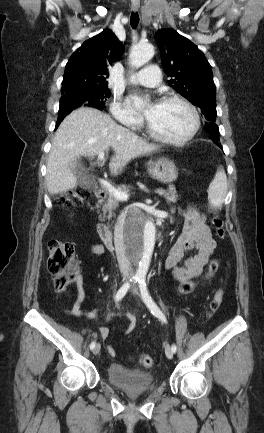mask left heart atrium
Masks as SVG:
<instances>
[{
    "label": "left heart atrium",
    "mask_w": 264,
    "mask_h": 433,
    "mask_svg": "<svg viewBox=\"0 0 264 433\" xmlns=\"http://www.w3.org/2000/svg\"><path fill=\"white\" fill-rule=\"evenodd\" d=\"M130 102H131V104H132L133 106L137 107L138 104H139V99H138L137 97H132L131 100H130ZM154 107H155V105H152V106H150L149 108H147V109L144 111V114L146 115V117H147L148 119H149L150 116L152 115V112H153Z\"/></svg>",
    "instance_id": "1"
}]
</instances>
